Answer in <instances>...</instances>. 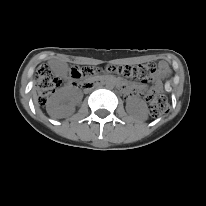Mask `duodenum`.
<instances>
[{"instance_id": "1", "label": "duodenum", "mask_w": 206, "mask_h": 206, "mask_svg": "<svg viewBox=\"0 0 206 206\" xmlns=\"http://www.w3.org/2000/svg\"><path fill=\"white\" fill-rule=\"evenodd\" d=\"M103 81H105V79H103V78H99V79H96V80H94V81H89V82H86V83H83L82 81H78L77 79H74L73 81H72V84L74 85V86H77L78 88H84L85 90H90V89H92L93 88V86H94V84L95 83H98V82H103ZM117 86H118V88L119 89H124L125 88V83L124 82H120V81H117Z\"/></svg>"}]
</instances>
